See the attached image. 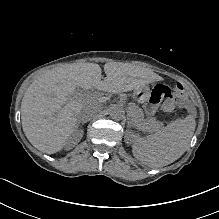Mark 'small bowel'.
<instances>
[{"instance_id": "1", "label": "small bowel", "mask_w": 219, "mask_h": 219, "mask_svg": "<svg viewBox=\"0 0 219 219\" xmlns=\"http://www.w3.org/2000/svg\"><path fill=\"white\" fill-rule=\"evenodd\" d=\"M169 96H170V89L167 86L158 85L155 88L154 96H153L152 101L146 107V113L150 116L154 115L160 101L162 99L168 98ZM181 105L186 107V108H190L188 103L181 102Z\"/></svg>"}]
</instances>
